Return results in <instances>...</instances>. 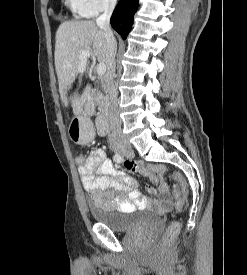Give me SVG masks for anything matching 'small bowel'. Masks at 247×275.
I'll list each match as a JSON object with an SVG mask.
<instances>
[{"label":"small bowel","mask_w":247,"mask_h":275,"mask_svg":"<svg viewBox=\"0 0 247 275\" xmlns=\"http://www.w3.org/2000/svg\"><path fill=\"white\" fill-rule=\"evenodd\" d=\"M78 171L82 185L96 207L108 211L130 212L136 207L148 205L147 199L138 191L135 181L114 164L102 148L92 150L87 160L80 163ZM131 171L151 178L157 188L150 186L149 191L160 196L159 208L166 210L171 207L172 198L163 179L164 166L158 165L154 174L144 163L139 162ZM118 192H125L129 200L117 196Z\"/></svg>","instance_id":"1"}]
</instances>
